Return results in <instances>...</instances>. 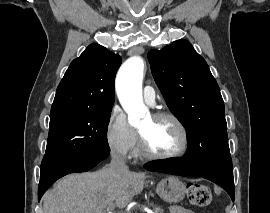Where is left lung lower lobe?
I'll list each match as a JSON object with an SVG mask.
<instances>
[{"label": "left lung lower lobe", "instance_id": "left-lung-lower-lobe-1", "mask_svg": "<svg viewBox=\"0 0 270 213\" xmlns=\"http://www.w3.org/2000/svg\"><path fill=\"white\" fill-rule=\"evenodd\" d=\"M149 171H157L181 176L203 177L221 186L234 201V178L232 168H220L205 173L197 163L194 152L188 144V151L185 156L179 159L169 160L165 163H158L146 167Z\"/></svg>", "mask_w": 270, "mask_h": 213}]
</instances>
